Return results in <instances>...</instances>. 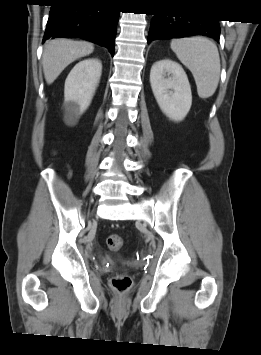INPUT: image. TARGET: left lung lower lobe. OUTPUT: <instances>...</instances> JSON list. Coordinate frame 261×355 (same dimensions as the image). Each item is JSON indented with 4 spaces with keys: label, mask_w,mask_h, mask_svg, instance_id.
<instances>
[{
    "label": "left lung lower lobe",
    "mask_w": 261,
    "mask_h": 355,
    "mask_svg": "<svg viewBox=\"0 0 261 355\" xmlns=\"http://www.w3.org/2000/svg\"><path fill=\"white\" fill-rule=\"evenodd\" d=\"M204 35L219 41L218 20L209 18L156 15L151 23L148 42L158 38H182Z\"/></svg>",
    "instance_id": "obj_1"
}]
</instances>
